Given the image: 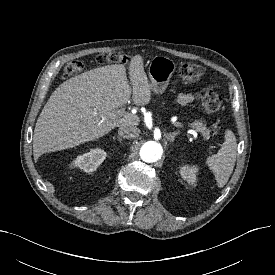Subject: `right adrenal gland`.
<instances>
[{
    "mask_svg": "<svg viewBox=\"0 0 275 275\" xmlns=\"http://www.w3.org/2000/svg\"><path fill=\"white\" fill-rule=\"evenodd\" d=\"M117 138L118 141L122 142V138L120 136H114L113 139L115 140Z\"/></svg>",
    "mask_w": 275,
    "mask_h": 275,
    "instance_id": "2a0ac1e0",
    "label": "right adrenal gland"
}]
</instances>
